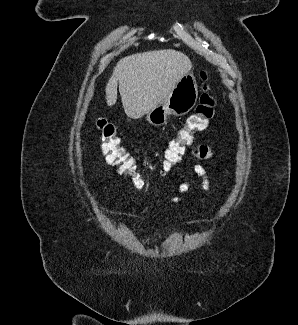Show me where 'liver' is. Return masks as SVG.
Returning <instances> with one entry per match:
<instances>
[{"label":"liver","mask_w":298,"mask_h":325,"mask_svg":"<svg viewBox=\"0 0 298 325\" xmlns=\"http://www.w3.org/2000/svg\"><path fill=\"white\" fill-rule=\"evenodd\" d=\"M192 66L191 58L175 48H158L124 56L114 66L106 84V102L108 106L116 104L119 88L127 116L141 118L164 102Z\"/></svg>","instance_id":"obj_1"}]
</instances>
